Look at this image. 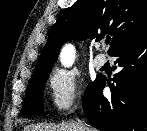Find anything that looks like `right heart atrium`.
I'll use <instances>...</instances> for the list:
<instances>
[{
    "label": "right heart atrium",
    "instance_id": "obj_1",
    "mask_svg": "<svg viewBox=\"0 0 147 131\" xmlns=\"http://www.w3.org/2000/svg\"><path fill=\"white\" fill-rule=\"evenodd\" d=\"M48 85L53 107L58 113L68 112L81 94V80L73 70H53L49 76Z\"/></svg>",
    "mask_w": 147,
    "mask_h": 131
}]
</instances>
